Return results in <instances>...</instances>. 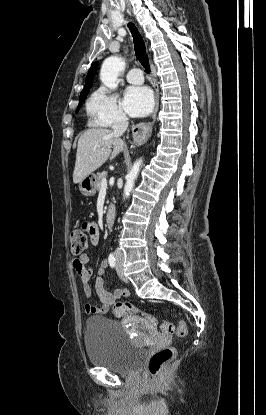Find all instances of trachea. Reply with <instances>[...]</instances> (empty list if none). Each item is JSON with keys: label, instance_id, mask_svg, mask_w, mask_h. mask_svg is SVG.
<instances>
[{"label": "trachea", "instance_id": "1", "mask_svg": "<svg viewBox=\"0 0 266 415\" xmlns=\"http://www.w3.org/2000/svg\"><path fill=\"white\" fill-rule=\"evenodd\" d=\"M128 27L133 37L136 57L141 63V65L145 68L146 72H150L149 59L146 53V48H145V43L143 41V38L134 24L129 23Z\"/></svg>", "mask_w": 266, "mask_h": 415}]
</instances>
